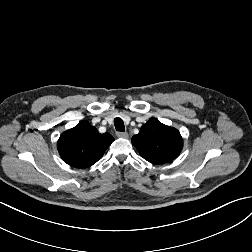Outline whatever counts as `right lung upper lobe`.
<instances>
[{"label": "right lung upper lobe", "instance_id": "right-lung-upper-lobe-1", "mask_svg": "<svg viewBox=\"0 0 252 252\" xmlns=\"http://www.w3.org/2000/svg\"><path fill=\"white\" fill-rule=\"evenodd\" d=\"M113 141L109 133L100 134L88 121H80L61 134L57 148L67 164L84 169L100 160Z\"/></svg>", "mask_w": 252, "mask_h": 252}]
</instances>
